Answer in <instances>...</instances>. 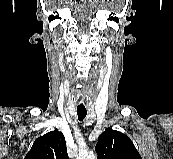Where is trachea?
<instances>
[{
  "label": "trachea",
  "instance_id": "trachea-1",
  "mask_svg": "<svg viewBox=\"0 0 173 159\" xmlns=\"http://www.w3.org/2000/svg\"><path fill=\"white\" fill-rule=\"evenodd\" d=\"M77 115H78L79 121H83L84 118L87 115V110L86 109L77 108Z\"/></svg>",
  "mask_w": 173,
  "mask_h": 159
}]
</instances>
